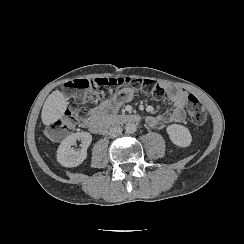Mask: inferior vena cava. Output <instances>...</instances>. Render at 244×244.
<instances>
[{
	"label": "inferior vena cava",
	"mask_w": 244,
	"mask_h": 244,
	"mask_svg": "<svg viewBox=\"0 0 244 244\" xmlns=\"http://www.w3.org/2000/svg\"><path fill=\"white\" fill-rule=\"evenodd\" d=\"M122 133V127L120 125H113L109 129V136L110 137H117Z\"/></svg>",
	"instance_id": "inferior-vena-cava-1"
}]
</instances>
